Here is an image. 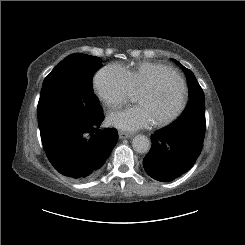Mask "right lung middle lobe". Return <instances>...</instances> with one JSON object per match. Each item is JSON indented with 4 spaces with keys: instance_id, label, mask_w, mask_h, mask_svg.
Wrapping results in <instances>:
<instances>
[{
    "instance_id": "dd1d6c3e",
    "label": "right lung middle lobe",
    "mask_w": 245,
    "mask_h": 245,
    "mask_svg": "<svg viewBox=\"0 0 245 245\" xmlns=\"http://www.w3.org/2000/svg\"><path fill=\"white\" fill-rule=\"evenodd\" d=\"M101 61L86 54H71L45 78L37 108L41 137L59 127L83 125L103 113L91 89Z\"/></svg>"
}]
</instances>
